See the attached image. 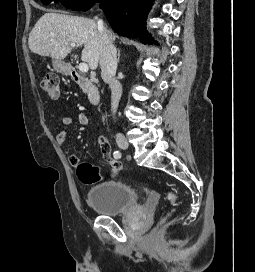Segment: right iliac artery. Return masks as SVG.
Segmentation results:
<instances>
[{"instance_id":"82829eb1","label":"right iliac artery","mask_w":255,"mask_h":272,"mask_svg":"<svg viewBox=\"0 0 255 272\" xmlns=\"http://www.w3.org/2000/svg\"><path fill=\"white\" fill-rule=\"evenodd\" d=\"M113 155H114V158L116 159L121 158V153L119 151H114Z\"/></svg>"}]
</instances>
